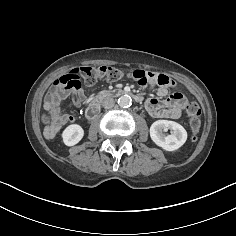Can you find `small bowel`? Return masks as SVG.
<instances>
[{
	"mask_svg": "<svg viewBox=\"0 0 236 236\" xmlns=\"http://www.w3.org/2000/svg\"><path fill=\"white\" fill-rule=\"evenodd\" d=\"M146 73L150 76L147 84L155 86L158 96L163 98L161 100L154 97L147 98L145 106L148 113L155 118H179L182 111L188 106L187 99L178 91L173 92L167 97L169 87L174 84L168 76L153 72ZM69 94L72 96L73 103L77 108L81 107L87 100L86 91L83 88L73 90ZM60 100H55L53 97L48 96L44 101V135L49 140L54 139L63 126L74 121L72 115L60 111Z\"/></svg>",
	"mask_w": 236,
	"mask_h": 236,
	"instance_id": "obj_1",
	"label": "small bowel"
}]
</instances>
